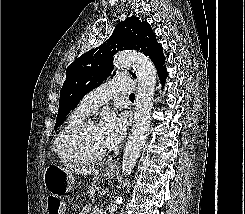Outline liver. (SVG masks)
<instances>
[{
    "instance_id": "liver-1",
    "label": "liver",
    "mask_w": 245,
    "mask_h": 214,
    "mask_svg": "<svg viewBox=\"0 0 245 214\" xmlns=\"http://www.w3.org/2000/svg\"><path fill=\"white\" fill-rule=\"evenodd\" d=\"M75 172L79 174H84V175H91V174H97L99 171L98 169H95L94 167H92V168L75 169Z\"/></svg>"
}]
</instances>
